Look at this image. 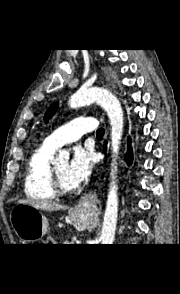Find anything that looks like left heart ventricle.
<instances>
[{"label":"left heart ventricle","instance_id":"b2bd125f","mask_svg":"<svg viewBox=\"0 0 180 294\" xmlns=\"http://www.w3.org/2000/svg\"><path fill=\"white\" fill-rule=\"evenodd\" d=\"M55 168L57 170V173L60 177V180L63 184V186L67 189H73L76 186H74L70 180L67 177V168H68V162L67 161H59L55 164Z\"/></svg>","mask_w":180,"mask_h":294}]
</instances>
